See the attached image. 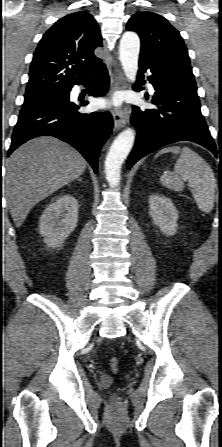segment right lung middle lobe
Masks as SVG:
<instances>
[{"label": "right lung middle lobe", "mask_w": 222, "mask_h": 447, "mask_svg": "<svg viewBox=\"0 0 222 447\" xmlns=\"http://www.w3.org/2000/svg\"><path fill=\"white\" fill-rule=\"evenodd\" d=\"M67 93L68 91L35 96H24V103L21 109V113L35 110L53 102L59 101L61 98L66 96Z\"/></svg>", "instance_id": "right-lung-middle-lobe-1"}]
</instances>
